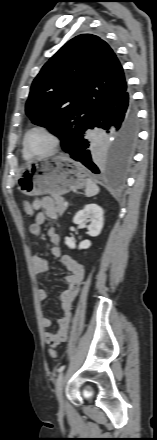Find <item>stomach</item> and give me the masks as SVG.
I'll use <instances>...</instances> for the list:
<instances>
[{"mask_svg":"<svg viewBox=\"0 0 157 440\" xmlns=\"http://www.w3.org/2000/svg\"><path fill=\"white\" fill-rule=\"evenodd\" d=\"M86 170L66 155L30 162L20 173L18 190L27 196H60L86 186Z\"/></svg>","mask_w":157,"mask_h":440,"instance_id":"1","label":"stomach"}]
</instances>
